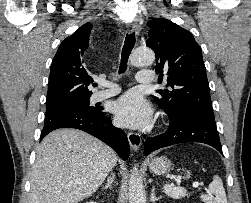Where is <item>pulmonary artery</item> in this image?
I'll use <instances>...</instances> for the list:
<instances>
[{
    "mask_svg": "<svg viewBox=\"0 0 251 203\" xmlns=\"http://www.w3.org/2000/svg\"><path fill=\"white\" fill-rule=\"evenodd\" d=\"M139 83H152L155 81V74L152 71L139 72L136 77ZM120 88L114 84H110V88L107 90L98 91L93 94L92 100L94 102L101 101L110 98L119 93Z\"/></svg>",
    "mask_w": 251,
    "mask_h": 203,
    "instance_id": "e3ab8cb5",
    "label": "pulmonary artery"
}]
</instances>
